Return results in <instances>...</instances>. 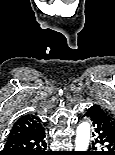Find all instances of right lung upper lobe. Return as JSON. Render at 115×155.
Returning a JSON list of instances; mask_svg holds the SVG:
<instances>
[{"mask_svg": "<svg viewBox=\"0 0 115 155\" xmlns=\"http://www.w3.org/2000/svg\"><path fill=\"white\" fill-rule=\"evenodd\" d=\"M43 129L40 119L33 115H24L13 125L8 140L32 134Z\"/></svg>", "mask_w": 115, "mask_h": 155, "instance_id": "1", "label": "right lung upper lobe"}]
</instances>
